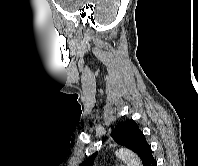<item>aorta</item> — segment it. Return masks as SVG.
I'll list each match as a JSON object with an SVG mask.
<instances>
[{"label": "aorta", "instance_id": "aorta-1", "mask_svg": "<svg viewBox=\"0 0 198 166\" xmlns=\"http://www.w3.org/2000/svg\"><path fill=\"white\" fill-rule=\"evenodd\" d=\"M115 155L117 158L124 161L127 166H143L140 158L129 149L120 148L116 150Z\"/></svg>", "mask_w": 198, "mask_h": 166}]
</instances>
